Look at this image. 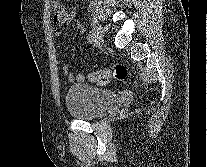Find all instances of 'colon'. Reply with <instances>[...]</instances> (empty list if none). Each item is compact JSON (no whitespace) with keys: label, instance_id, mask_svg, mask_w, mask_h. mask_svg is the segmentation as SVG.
I'll list each match as a JSON object with an SVG mask.
<instances>
[{"label":"colon","instance_id":"colon-1","mask_svg":"<svg viewBox=\"0 0 207 167\" xmlns=\"http://www.w3.org/2000/svg\"><path fill=\"white\" fill-rule=\"evenodd\" d=\"M127 78V69L122 64H116L110 69H102L89 74L90 81L99 85H106L111 79L124 81Z\"/></svg>","mask_w":207,"mask_h":167}]
</instances>
